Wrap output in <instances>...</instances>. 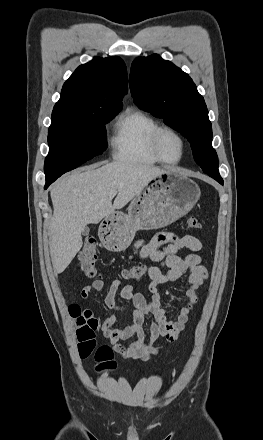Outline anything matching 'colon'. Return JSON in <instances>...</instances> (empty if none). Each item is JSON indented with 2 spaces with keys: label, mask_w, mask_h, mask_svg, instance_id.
I'll use <instances>...</instances> for the list:
<instances>
[{
  "label": "colon",
  "mask_w": 263,
  "mask_h": 440,
  "mask_svg": "<svg viewBox=\"0 0 263 440\" xmlns=\"http://www.w3.org/2000/svg\"><path fill=\"white\" fill-rule=\"evenodd\" d=\"M187 225L191 229L200 230L202 228L200 221L195 217H190L187 220ZM97 259L96 241L94 238H87L79 253V268L86 277L94 278L98 275L95 266ZM145 273V267L137 264L126 269L123 276L130 280H139ZM69 313L74 321L80 357L86 359L95 352L97 371L113 369L115 362L113 361L112 349L106 345L96 348V336L99 331L98 320L92 316L90 311L82 309L77 304L70 305Z\"/></svg>",
  "instance_id": "5ec220e1"
}]
</instances>
